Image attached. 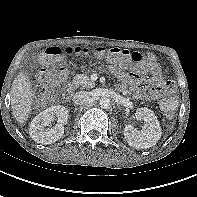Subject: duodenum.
I'll use <instances>...</instances> for the list:
<instances>
[{"instance_id":"obj_1","label":"duodenum","mask_w":197,"mask_h":197,"mask_svg":"<svg viewBox=\"0 0 197 197\" xmlns=\"http://www.w3.org/2000/svg\"><path fill=\"white\" fill-rule=\"evenodd\" d=\"M71 91V89H68V92H70Z\"/></svg>"}]
</instances>
